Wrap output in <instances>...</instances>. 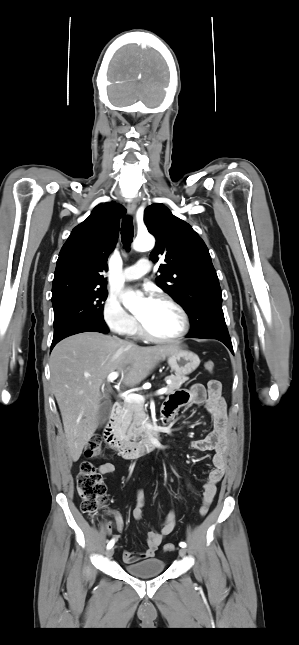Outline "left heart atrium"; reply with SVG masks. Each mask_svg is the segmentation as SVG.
Returning <instances> with one entry per match:
<instances>
[{
    "label": "left heart atrium",
    "mask_w": 299,
    "mask_h": 645,
    "mask_svg": "<svg viewBox=\"0 0 299 645\" xmlns=\"http://www.w3.org/2000/svg\"><path fill=\"white\" fill-rule=\"evenodd\" d=\"M155 301H156V299L152 296V294L149 293V292H146V296H145L144 302H143L144 305L146 307H150L155 303Z\"/></svg>",
    "instance_id": "left-heart-atrium-1"
}]
</instances>
